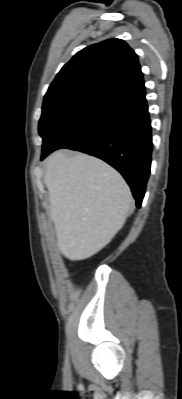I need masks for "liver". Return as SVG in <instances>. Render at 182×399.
Returning a JSON list of instances; mask_svg holds the SVG:
<instances>
[{
  "mask_svg": "<svg viewBox=\"0 0 182 399\" xmlns=\"http://www.w3.org/2000/svg\"><path fill=\"white\" fill-rule=\"evenodd\" d=\"M50 217L64 257L87 259L122 228L133 198L122 176L95 157L65 151L46 161Z\"/></svg>",
  "mask_w": 182,
  "mask_h": 399,
  "instance_id": "1",
  "label": "liver"
}]
</instances>
